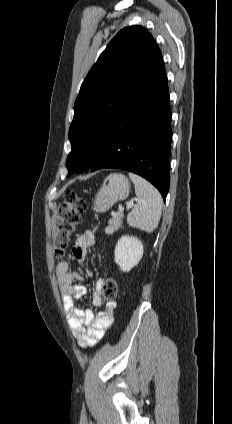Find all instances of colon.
I'll use <instances>...</instances> for the list:
<instances>
[{
	"instance_id": "5ec220e1",
	"label": "colon",
	"mask_w": 232,
	"mask_h": 424,
	"mask_svg": "<svg viewBox=\"0 0 232 424\" xmlns=\"http://www.w3.org/2000/svg\"><path fill=\"white\" fill-rule=\"evenodd\" d=\"M87 207V202L76 191L67 190L62 203L58 207L55 228L54 257L61 258L68 242L79 222L80 214ZM118 294V284L115 278L108 276L103 280L101 298L113 300Z\"/></svg>"
}]
</instances>
